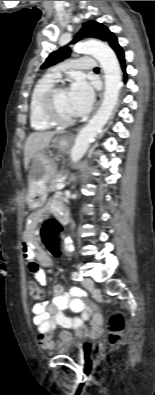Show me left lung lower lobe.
Here are the masks:
<instances>
[{"instance_id":"obj_1","label":"left lung lower lobe","mask_w":155,"mask_h":395,"mask_svg":"<svg viewBox=\"0 0 155 395\" xmlns=\"http://www.w3.org/2000/svg\"><path fill=\"white\" fill-rule=\"evenodd\" d=\"M117 56H118V58H119V61L121 62V66H122V69H123V71H124V80L126 81V79H127V74H126V66H125V58H124V52H123V50H120V51H118L117 53Z\"/></svg>"}]
</instances>
